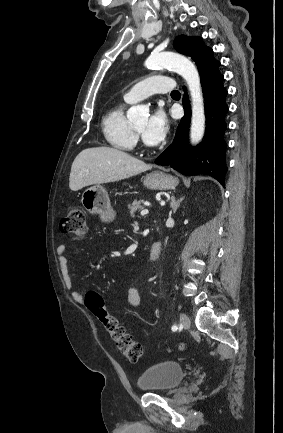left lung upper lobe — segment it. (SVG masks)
Here are the masks:
<instances>
[{"label":"left lung upper lobe","mask_w":283,"mask_h":433,"mask_svg":"<svg viewBox=\"0 0 283 433\" xmlns=\"http://www.w3.org/2000/svg\"><path fill=\"white\" fill-rule=\"evenodd\" d=\"M174 47L179 53L192 57L194 61L208 49L203 45L201 38L184 35L176 37Z\"/></svg>","instance_id":"5c2ea615"}]
</instances>
